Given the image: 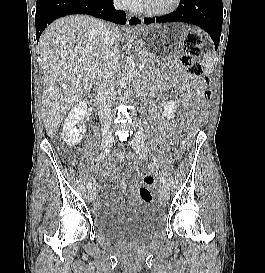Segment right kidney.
<instances>
[{"instance_id":"ca27d5eb","label":"right kidney","mask_w":265,"mask_h":273,"mask_svg":"<svg viewBox=\"0 0 265 273\" xmlns=\"http://www.w3.org/2000/svg\"><path fill=\"white\" fill-rule=\"evenodd\" d=\"M86 115L87 105L85 101H80L71 109L66 117L63 125L62 137L68 146H76L82 141L86 133V126L84 123V117ZM76 125H79V128H77Z\"/></svg>"}]
</instances>
